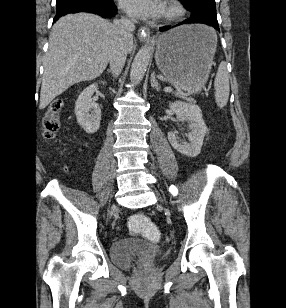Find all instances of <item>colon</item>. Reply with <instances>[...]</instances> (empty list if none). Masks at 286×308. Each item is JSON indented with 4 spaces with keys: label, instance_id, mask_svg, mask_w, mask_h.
Returning a JSON list of instances; mask_svg holds the SVG:
<instances>
[{
    "label": "colon",
    "instance_id": "1",
    "mask_svg": "<svg viewBox=\"0 0 286 308\" xmlns=\"http://www.w3.org/2000/svg\"><path fill=\"white\" fill-rule=\"evenodd\" d=\"M62 108L63 101L61 99H55L49 104L47 112L42 120V135L45 139L49 140L54 138L59 131L61 126L59 115ZM129 226L133 231L151 241H157L160 238L158 229L142 214L132 215Z\"/></svg>",
    "mask_w": 286,
    "mask_h": 308
}]
</instances>
